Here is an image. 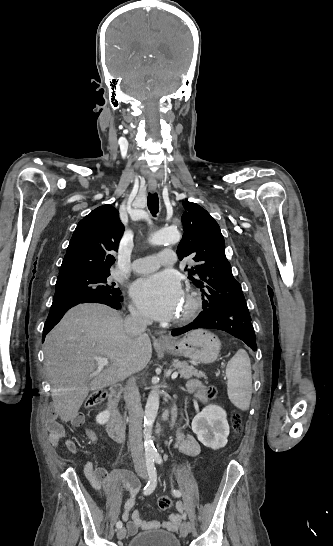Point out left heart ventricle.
Masks as SVG:
<instances>
[{"instance_id": "b2bd125f", "label": "left heart ventricle", "mask_w": 333, "mask_h": 546, "mask_svg": "<svg viewBox=\"0 0 333 546\" xmlns=\"http://www.w3.org/2000/svg\"><path fill=\"white\" fill-rule=\"evenodd\" d=\"M186 305H187L186 298L183 297V300H182V302H181V304H180V307H179V309H178L177 316L181 315V314L184 312V310H185V308H186Z\"/></svg>"}]
</instances>
